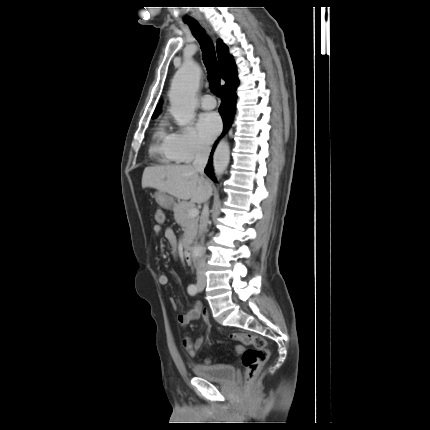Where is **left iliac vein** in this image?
Instances as JSON below:
<instances>
[{
	"mask_svg": "<svg viewBox=\"0 0 430 430\" xmlns=\"http://www.w3.org/2000/svg\"><path fill=\"white\" fill-rule=\"evenodd\" d=\"M204 287H205V280L202 279V280H200L198 282V290H199V292L203 291Z\"/></svg>",
	"mask_w": 430,
	"mask_h": 430,
	"instance_id": "obj_1",
	"label": "left iliac vein"
}]
</instances>
